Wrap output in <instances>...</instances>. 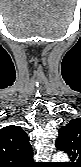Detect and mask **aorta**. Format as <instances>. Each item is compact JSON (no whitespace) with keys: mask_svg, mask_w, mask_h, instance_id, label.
Listing matches in <instances>:
<instances>
[{"mask_svg":"<svg viewBox=\"0 0 81 167\" xmlns=\"http://www.w3.org/2000/svg\"><path fill=\"white\" fill-rule=\"evenodd\" d=\"M68 156L67 154L63 153V152H58L53 156V161L54 162H67Z\"/></svg>","mask_w":81,"mask_h":167,"instance_id":"aorta-1","label":"aorta"}]
</instances>
